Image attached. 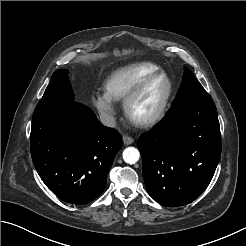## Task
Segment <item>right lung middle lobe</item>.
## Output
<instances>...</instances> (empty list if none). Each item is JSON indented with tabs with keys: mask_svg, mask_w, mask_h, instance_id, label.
<instances>
[{
	"mask_svg": "<svg viewBox=\"0 0 246 246\" xmlns=\"http://www.w3.org/2000/svg\"><path fill=\"white\" fill-rule=\"evenodd\" d=\"M67 75V69H59L54 72L33 116L56 113L73 102L74 94Z\"/></svg>",
	"mask_w": 246,
	"mask_h": 246,
	"instance_id": "right-lung-middle-lobe-1",
	"label": "right lung middle lobe"
}]
</instances>
